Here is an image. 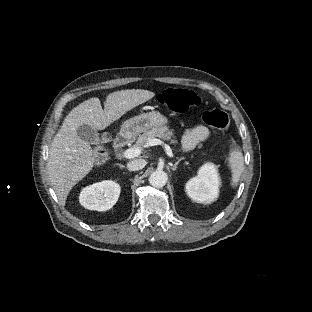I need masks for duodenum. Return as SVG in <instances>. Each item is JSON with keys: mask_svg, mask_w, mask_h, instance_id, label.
I'll return each instance as SVG.
<instances>
[{"mask_svg": "<svg viewBox=\"0 0 312 312\" xmlns=\"http://www.w3.org/2000/svg\"><path fill=\"white\" fill-rule=\"evenodd\" d=\"M134 135L131 131H123L119 133L115 139V152L116 156L122 158L124 155V149L127 144L133 139Z\"/></svg>", "mask_w": 312, "mask_h": 312, "instance_id": "1", "label": "duodenum"}]
</instances>
